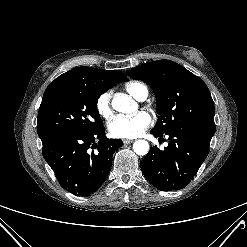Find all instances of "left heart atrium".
<instances>
[{"label": "left heart atrium", "instance_id": "left-heart-atrium-1", "mask_svg": "<svg viewBox=\"0 0 247 247\" xmlns=\"http://www.w3.org/2000/svg\"><path fill=\"white\" fill-rule=\"evenodd\" d=\"M152 123L151 116L145 111L133 115H118L108 125L111 136L115 138H135L140 136Z\"/></svg>", "mask_w": 247, "mask_h": 247}]
</instances>
